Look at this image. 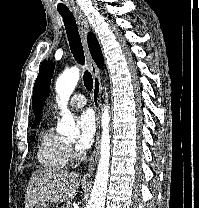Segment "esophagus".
I'll list each match as a JSON object with an SVG mask.
<instances>
[{"mask_svg":"<svg viewBox=\"0 0 199 208\" xmlns=\"http://www.w3.org/2000/svg\"><path fill=\"white\" fill-rule=\"evenodd\" d=\"M73 11H74V15L76 17L77 23H78V27H79V31H80V35H81V39H82V44H83V48H84V54H85V57H86V61H87V64L89 66L90 72L93 76L92 102H93L94 110L96 112L97 135H96L95 147H94L93 153L90 157L89 164H88V169H87V173H86V176L90 177L93 174L94 170H95V166H96V163H97L98 157H99V142H100V131H101V126H100L101 83H100V79H99V75H98L99 70H98L95 62L93 61V59L90 55L88 45H87V34L90 30L89 23L86 20V17L81 12V10H79L78 8H73Z\"/></svg>","mask_w":199,"mask_h":208,"instance_id":"esophagus-1","label":"esophagus"}]
</instances>
